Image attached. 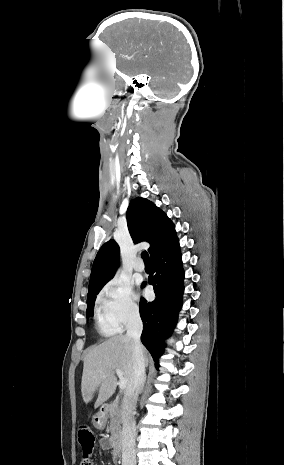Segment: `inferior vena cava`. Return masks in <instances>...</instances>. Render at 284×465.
I'll use <instances>...</instances> for the list:
<instances>
[{
  "label": "inferior vena cava",
  "mask_w": 284,
  "mask_h": 465,
  "mask_svg": "<svg viewBox=\"0 0 284 465\" xmlns=\"http://www.w3.org/2000/svg\"><path fill=\"white\" fill-rule=\"evenodd\" d=\"M143 325L139 315H130L127 323V337L133 341L132 361L133 371L130 385H128L121 409L122 419V465H136L135 457V437L136 423L134 419V409L136 407L138 395L142 389L145 375L144 349L140 341Z\"/></svg>",
  "instance_id": "1"
}]
</instances>
